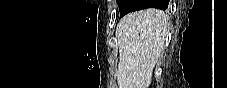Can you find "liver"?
<instances>
[{"instance_id": "obj_1", "label": "liver", "mask_w": 227, "mask_h": 88, "mask_svg": "<svg viewBox=\"0 0 227 88\" xmlns=\"http://www.w3.org/2000/svg\"><path fill=\"white\" fill-rule=\"evenodd\" d=\"M167 15L142 9L124 16L116 28L119 88H148L166 40Z\"/></svg>"}]
</instances>
